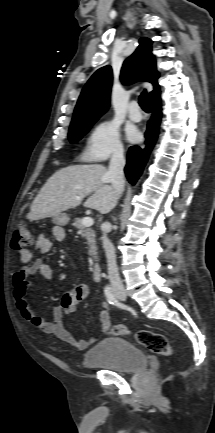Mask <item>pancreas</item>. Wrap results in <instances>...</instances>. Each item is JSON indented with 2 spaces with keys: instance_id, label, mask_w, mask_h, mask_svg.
I'll return each instance as SVG.
<instances>
[{
  "instance_id": "pancreas-1",
  "label": "pancreas",
  "mask_w": 215,
  "mask_h": 433,
  "mask_svg": "<svg viewBox=\"0 0 215 433\" xmlns=\"http://www.w3.org/2000/svg\"><path fill=\"white\" fill-rule=\"evenodd\" d=\"M73 226L75 228L81 230L85 234L87 244L89 246V251H88L89 256L96 259L97 258V247H96V241H95V232L91 228L85 227L82 224L81 218H75Z\"/></svg>"
}]
</instances>
